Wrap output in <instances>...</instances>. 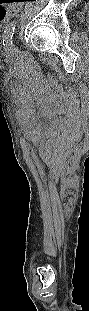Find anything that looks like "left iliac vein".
<instances>
[{
	"label": "left iliac vein",
	"instance_id": "4c4485c4",
	"mask_svg": "<svg viewBox=\"0 0 89 311\" xmlns=\"http://www.w3.org/2000/svg\"><path fill=\"white\" fill-rule=\"evenodd\" d=\"M15 52V45L13 43L8 44L7 53L12 54Z\"/></svg>",
	"mask_w": 89,
	"mask_h": 311
}]
</instances>
